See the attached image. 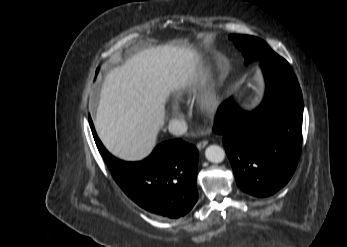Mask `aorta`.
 I'll return each mask as SVG.
<instances>
[{
    "label": "aorta",
    "instance_id": "obj_1",
    "mask_svg": "<svg viewBox=\"0 0 347 247\" xmlns=\"http://www.w3.org/2000/svg\"><path fill=\"white\" fill-rule=\"evenodd\" d=\"M205 157L212 163H221L225 159V151L218 145H210L205 150Z\"/></svg>",
    "mask_w": 347,
    "mask_h": 247
}]
</instances>
